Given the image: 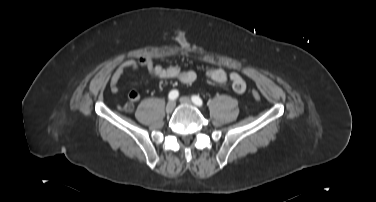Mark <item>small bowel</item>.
<instances>
[{
	"label": "small bowel",
	"instance_id": "obj_1",
	"mask_svg": "<svg viewBox=\"0 0 376 202\" xmlns=\"http://www.w3.org/2000/svg\"><path fill=\"white\" fill-rule=\"evenodd\" d=\"M138 68H145L153 77L160 79H174L183 84H191L196 80V73L191 69L181 68L179 66H161L147 56H140L137 59L123 61L113 72L110 78V91L117 94L120 90L119 83L123 75L128 71H136ZM206 76L216 83H226L231 81L232 89L237 94H243L246 91V83L237 73H229L221 67L209 69ZM140 93L132 90L128 94L130 102L135 103L140 100Z\"/></svg>",
	"mask_w": 376,
	"mask_h": 202
}]
</instances>
